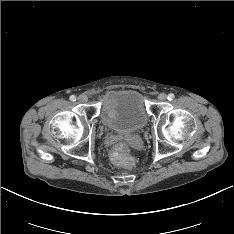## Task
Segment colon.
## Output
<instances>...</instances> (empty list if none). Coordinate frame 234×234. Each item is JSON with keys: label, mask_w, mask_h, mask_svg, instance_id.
Segmentation results:
<instances>
[{"label": "colon", "mask_w": 234, "mask_h": 234, "mask_svg": "<svg viewBox=\"0 0 234 234\" xmlns=\"http://www.w3.org/2000/svg\"><path fill=\"white\" fill-rule=\"evenodd\" d=\"M113 161L118 166H127L129 168H136L138 166V159L136 157H130L129 152L120 146L113 154Z\"/></svg>", "instance_id": "5ec220e1"}]
</instances>
